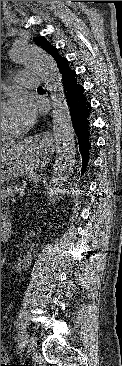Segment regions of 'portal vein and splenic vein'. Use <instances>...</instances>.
Instances as JSON below:
<instances>
[{"label": "portal vein and splenic vein", "instance_id": "1", "mask_svg": "<svg viewBox=\"0 0 122 366\" xmlns=\"http://www.w3.org/2000/svg\"><path fill=\"white\" fill-rule=\"evenodd\" d=\"M23 191H24V190H22V191H18V192H19V193H23ZM21 196H22V195H21Z\"/></svg>", "mask_w": 122, "mask_h": 366}]
</instances>
